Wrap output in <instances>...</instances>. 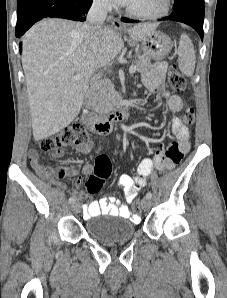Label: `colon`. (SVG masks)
Instances as JSON below:
<instances>
[{
  "mask_svg": "<svg viewBox=\"0 0 227 298\" xmlns=\"http://www.w3.org/2000/svg\"><path fill=\"white\" fill-rule=\"evenodd\" d=\"M169 85L174 91L184 92L187 84L184 76L177 70L175 66H172L168 73ZM195 120L194 109L188 107L182 117V121L188 125H192ZM88 131L83 124L77 123L70 125L55 135L44 138L40 142V148L46 152H60L64 148H68L74 145L82 144L88 141ZM111 174V162L106 156H100L96 160L94 173L90 175L87 180L86 186L90 194H96L101 191L104 180ZM134 213L140 212L139 200L134 201Z\"/></svg>",
  "mask_w": 227,
  "mask_h": 298,
  "instance_id": "obj_1",
  "label": "colon"
}]
</instances>
